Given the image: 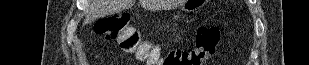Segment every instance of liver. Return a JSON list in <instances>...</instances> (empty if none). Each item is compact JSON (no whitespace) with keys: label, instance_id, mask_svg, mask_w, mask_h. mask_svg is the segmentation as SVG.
<instances>
[{"label":"liver","instance_id":"liver-1","mask_svg":"<svg viewBox=\"0 0 309 65\" xmlns=\"http://www.w3.org/2000/svg\"><path fill=\"white\" fill-rule=\"evenodd\" d=\"M88 3V13L83 21V25L90 24L99 17L118 13L132 6L131 0H88ZM140 4L148 10H158L165 6V3L156 0H140Z\"/></svg>","mask_w":309,"mask_h":65}]
</instances>
